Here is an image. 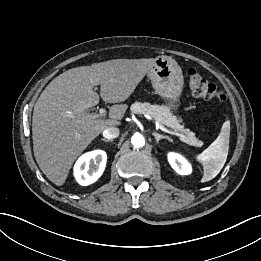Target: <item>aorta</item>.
Instances as JSON below:
<instances>
[{"label": "aorta", "mask_w": 261, "mask_h": 261, "mask_svg": "<svg viewBox=\"0 0 261 261\" xmlns=\"http://www.w3.org/2000/svg\"><path fill=\"white\" fill-rule=\"evenodd\" d=\"M131 143L135 148H141L145 145V139L141 134L136 133L132 136Z\"/></svg>", "instance_id": "762f6f07"}]
</instances>
